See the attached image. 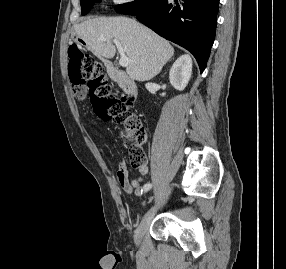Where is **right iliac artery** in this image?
<instances>
[{"instance_id": "82829eb1", "label": "right iliac artery", "mask_w": 286, "mask_h": 269, "mask_svg": "<svg viewBox=\"0 0 286 269\" xmlns=\"http://www.w3.org/2000/svg\"><path fill=\"white\" fill-rule=\"evenodd\" d=\"M151 187H152V184H151V183H146V184L143 186V190L146 192V191L150 190Z\"/></svg>"}]
</instances>
